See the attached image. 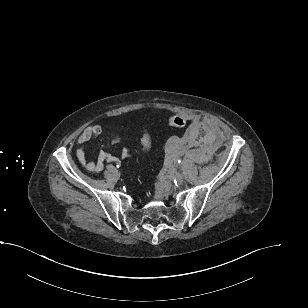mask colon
I'll return each mask as SVG.
<instances>
[{
	"instance_id": "5ec220e1",
	"label": "colon",
	"mask_w": 308,
	"mask_h": 308,
	"mask_svg": "<svg viewBox=\"0 0 308 308\" xmlns=\"http://www.w3.org/2000/svg\"><path fill=\"white\" fill-rule=\"evenodd\" d=\"M185 124H186L185 118L180 116V115H174V116L170 117V119H169V126H171V127L181 128V127L185 126ZM143 144H144L145 148H148L150 146V136L148 134H146L144 136Z\"/></svg>"
}]
</instances>
